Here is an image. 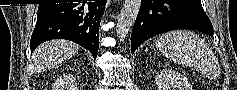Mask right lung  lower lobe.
<instances>
[{
	"label": "right lung lower lobe",
	"instance_id": "1",
	"mask_svg": "<svg viewBox=\"0 0 237 90\" xmlns=\"http://www.w3.org/2000/svg\"><path fill=\"white\" fill-rule=\"evenodd\" d=\"M106 1L40 4L33 31L31 53L44 41L71 40L88 49L96 59L99 23Z\"/></svg>",
	"mask_w": 237,
	"mask_h": 90
}]
</instances>
